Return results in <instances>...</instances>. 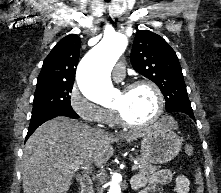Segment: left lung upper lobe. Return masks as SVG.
<instances>
[{
    "label": "left lung upper lobe",
    "mask_w": 221,
    "mask_h": 193,
    "mask_svg": "<svg viewBox=\"0 0 221 193\" xmlns=\"http://www.w3.org/2000/svg\"><path fill=\"white\" fill-rule=\"evenodd\" d=\"M130 60L137 72L160 88L165 97L166 111L191 108L177 55L161 36L149 30H139Z\"/></svg>",
    "instance_id": "1"
}]
</instances>
